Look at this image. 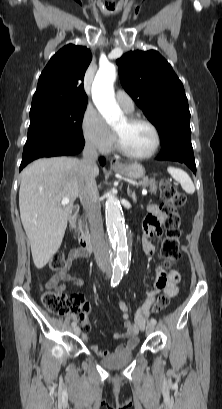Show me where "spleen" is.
I'll return each instance as SVG.
<instances>
[{"label":"spleen","mask_w":222,"mask_h":409,"mask_svg":"<svg viewBox=\"0 0 222 409\" xmlns=\"http://www.w3.org/2000/svg\"><path fill=\"white\" fill-rule=\"evenodd\" d=\"M168 173L181 184L183 190L188 194H193L195 191L194 184L189 175L182 169L175 167H168Z\"/></svg>","instance_id":"obj_1"}]
</instances>
